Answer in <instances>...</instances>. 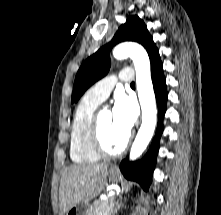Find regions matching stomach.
<instances>
[{
	"label": "stomach",
	"mask_w": 221,
	"mask_h": 215,
	"mask_svg": "<svg viewBox=\"0 0 221 215\" xmlns=\"http://www.w3.org/2000/svg\"><path fill=\"white\" fill-rule=\"evenodd\" d=\"M108 176L112 181H118L120 179V173L117 170L110 169ZM89 204L81 203L66 212V215H88Z\"/></svg>",
	"instance_id": "0dacf381"
}]
</instances>
